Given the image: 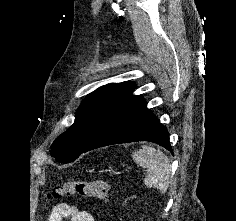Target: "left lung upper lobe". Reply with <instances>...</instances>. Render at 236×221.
Wrapping results in <instances>:
<instances>
[{
	"label": "left lung upper lobe",
	"instance_id": "1",
	"mask_svg": "<svg viewBox=\"0 0 236 221\" xmlns=\"http://www.w3.org/2000/svg\"><path fill=\"white\" fill-rule=\"evenodd\" d=\"M135 89L133 83L107 84L89 94L77 111L73 125L51 145V155L60 163L74 161L89 144L105 119Z\"/></svg>",
	"mask_w": 236,
	"mask_h": 221
}]
</instances>
